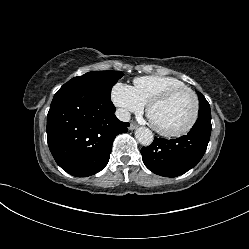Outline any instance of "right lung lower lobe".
Wrapping results in <instances>:
<instances>
[{"mask_svg": "<svg viewBox=\"0 0 249 249\" xmlns=\"http://www.w3.org/2000/svg\"><path fill=\"white\" fill-rule=\"evenodd\" d=\"M115 110L110 98L88 87L64 84L57 91L47 115V141L64 171L86 177L107 165L114 138L130 125Z\"/></svg>", "mask_w": 249, "mask_h": 249, "instance_id": "98d812e1", "label": "right lung lower lobe"}]
</instances>
